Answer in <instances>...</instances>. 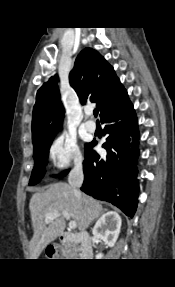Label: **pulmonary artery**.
Segmentation results:
<instances>
[{
	"mask_svg": "<svg viewBox=\"0 0 175 287\" xmlns=\"http://www.w3.org/2000/svg\"><path fill=\"white\" fill-rule=\"evenodd\" d=\"M86 115H87L88 118H90L91 115H92V112H91V111H87V112H86ZM85 127H86V129H87L89 132H95V130H96V124H95V122L92 121V120H90V119H88V120L85 121Z\"/></svg>",
	"mask_w": 175,
	"mask_h": 287,
	"instance_id": "1",
	"label": "pulmonary artery"
}]
</instances>
